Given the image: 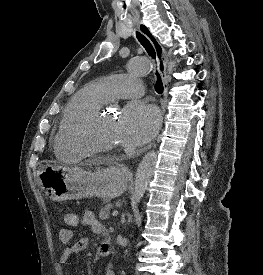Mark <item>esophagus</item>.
I'll use <instances>...</instances> for the list:
<instances>
[{"label":"esophagus","mask_w":263,"mask_h":275,"mask_svg":"<svg viewBox=\"0 0 263 275\" xmlns=\"http://www.w3.org/2000/svg\"><path fill=\"white\" fill-rule=\"evenodd\" d=\"M137 27H138V30L143 35H145L147 37V39L151 42V44L155 50V53H156V58H157V62H158V70H159L160 76L163 81V86H164L163 99L161 102L162 119H163V115L166 110L168 87H169V82H170V77L168 75L167 53H166V50L164 49V47L161 45V43L156 38V36L151 32V30L144 23L138 24ZM153 144H154V140L147 147H145V150L151 148Z\"/></svg>","instance_id":"esophagus-1"}]
</instances>
